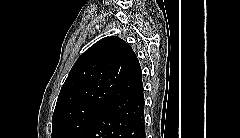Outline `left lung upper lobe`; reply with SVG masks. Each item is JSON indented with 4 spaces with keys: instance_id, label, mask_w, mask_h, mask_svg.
Wrapping results in <instances>:
<instances>
[{
    "instance_id": "1",
    "label": "left lung upper lobe",
    "mask_w": 240,
    "mask_h": 138,
    "mask_svg": "<svg viewBox=\"0 0 240 138\" xmlns=\"http://www.w3.org/2000/svg\"><path fill=\"white\" fill-rule=\"evenodd\" d=\"M137 57L119 37H105L73 65L58 96L51 138H85Z\"/></svg>"
}]
</instances>
